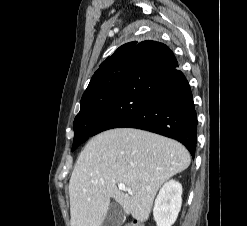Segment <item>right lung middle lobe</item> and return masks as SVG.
I'll use <instances>...</instances> for the list:
<instances>
[{
	"label": "right lung middle lobe",
	"mask_w": 247,
	"mask_h": 226,
	"mask_svg": "<svg viewBox=\"0 0 247 226\" xmlns=\"http://www.w3.org/2000/svg\"><path fill=\"white\" fill-rule=\"evenodd\" d=\"M129 57L124 55L113 60L84 92L80 112L74 120L72 151L91 136L119 88Z\"/></svg>",
	"instance_id": "dd1d6c3e"
}]
</instances>
